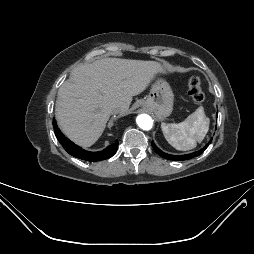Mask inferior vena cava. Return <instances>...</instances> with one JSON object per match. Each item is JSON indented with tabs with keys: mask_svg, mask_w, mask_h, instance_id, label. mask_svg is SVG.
Segmentation results:
<instances>
[{
	"mask_svg": "<svg viewBox=\"0 0 254 254\" xmlns=\"http://www.w3.org/2000/svg\"><path fill=\"white\" fill-rule=\"evenodd\" d=\"M120 111H121V108H120L119 106L114 107V108L112 109V113H114V114H117V113H119Z\"/></svg>",
	"mask_w": 254,
	"mask_h": 254,
	"instance_id": "obj_1",
	"label": "inferior vena cava"
}]
</instances>
